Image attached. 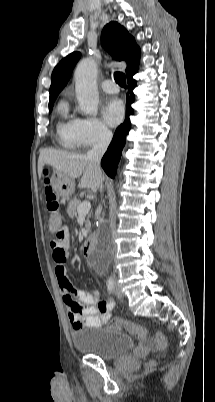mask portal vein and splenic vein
<instances>
[{
	"label": "portal vein and splenic vein",
	"instance_id": "1",
	"mask_svg": "<svg viewBox=\"0 0 215 402\" xmlns=\"http://www.w3.org/2000/svg\"><path fill=\"white\" fill-rule=\"evenodd\" d=\"M91 208V204L88 201H83L78 207H77V213L79 216H84L88 214L89 210Z\"/></svg>",
	"mask_w": 215,
	"mask_h": 402
}]
</instances>
